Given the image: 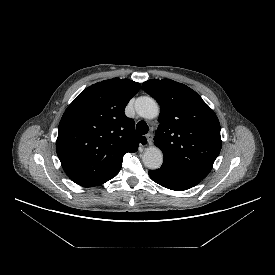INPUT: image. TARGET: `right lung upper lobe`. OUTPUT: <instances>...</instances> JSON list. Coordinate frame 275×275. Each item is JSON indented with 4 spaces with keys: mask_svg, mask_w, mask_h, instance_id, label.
I'll return each mask as SVG.
<instances>
[{
    "mask_svg": "<svg viewBox=\"0 0 275 275\" xmlns=\"http://www.w3.org/2000/svg\"><path fill=\"white\" fill-rule=\"evenodd\" d=\"M140 87L129 79L104 80L83 90L67 107L56 151L72 181L84 187L105 183L120 171L124 154L146 143L124 113Z\"/></svg>",
    "mask_w": 275,
    "mask_h": 275,
    "instance_id": "cb5924a9",
    "label": "right lung upper lobe"
}]
</instances>
